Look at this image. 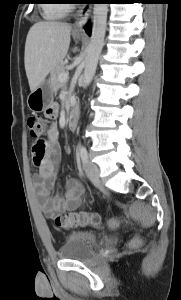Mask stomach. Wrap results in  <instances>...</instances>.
Segmentation results:
<instances>
[{
	"instance_id": "stomach-1",
	"label": "stomach",
	"mask_w": 181,
	"mask_h": 300,
	"mask_svg": "<svg viewBox=\"0 0 181 300\" xmlns=\"http://www.w3.org/2000/svg\"><path fill=\"white\" fill-rule=\"evenodd\" d=\"M54 90L50 80H45L36 90L32 91L27 104L34 112L44 111L53 102Z\"/></svg>"
}]
</instances>
